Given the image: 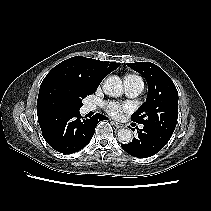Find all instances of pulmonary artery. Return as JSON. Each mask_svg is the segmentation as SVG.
<instances>
[{
  "mask_svg": "<svg viewBox=\"0 0 211 211\" xmlns=\"http://www.w3.org/2000/svg\"><path fill=\"white\" fill-rule=\"evenodd\" d=\"M125 92L130 97H136L140 95L144 90V82L139 76H126L124 78ZM92 105L87 106V110H93ZM143 128V125H140Z\"/></svg>",
  "mask_w": 211,
  "mask_h": 211,
  "instance_id": "obj_1",
  "label": "pulmonary artery"
}]
</instances>
